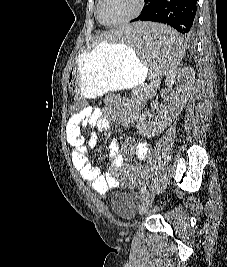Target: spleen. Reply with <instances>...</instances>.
<instances>
[{
    "label": "spleen",
    "instance_id": "spleen-1",
    "mask_svg": "<svg viewBox=\"0 0 227 267\" xmlns=\"http://www.w3.org/2000/svg\"><path fill=\"white\" fill-rule=\"evenodd\" d=\"M114 36H105V41L124 43L134 47L138 59L151 63L148 81H159V77H174L185 53V45L177 32L163 22L138 19L137 22H121L115 25Z\"/></svg>",
    "mask_w": 227,
    "mask_h": 267
}]
</instances>
